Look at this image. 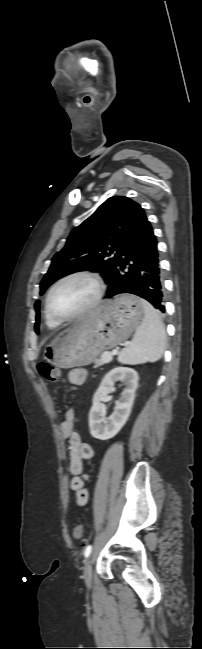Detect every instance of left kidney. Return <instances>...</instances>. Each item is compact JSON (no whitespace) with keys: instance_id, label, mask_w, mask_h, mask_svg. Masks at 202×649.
I'll use <instances>...</instances> for the list:
<instances>
[{"instance_id":"left-kidney-1","label":"left kidney","mask_w":202,"mask_h":649,"mask_svg":"<svg viewBox=\"0 0 202 649\" xmlns=\"http://www.w3.org/2000/svg\"><path fill=\"white\" fill-rule=\"evenodd\" d=\"M117 381L125 384V388L121 398L116 402L114 412L106 418L102 401L114 391V384ZM137 386L138 373L132 368H114L104 376L93 396L92 408L89 413V428L94 438L107 440L121 430L131 413Z\"/></svg>"}]
</instances>
